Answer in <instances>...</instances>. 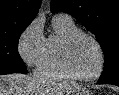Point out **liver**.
<instances>
[{"label": "liver", "mask_w": 119, "mask_h": 95, "mask_svg": "<svg viewBox=\"0 0 119 95\" xmlns=\"http://www.w3.org/2000/svg\"><path fill=\"white\" fill-rule=\"evenodd\" d=\"M76 83L59 81L43 75L12 73L0 75V95H65Z\"/></svg>", "instance_id": "liver-1"}]
</instances>
